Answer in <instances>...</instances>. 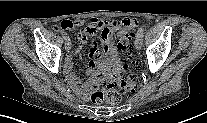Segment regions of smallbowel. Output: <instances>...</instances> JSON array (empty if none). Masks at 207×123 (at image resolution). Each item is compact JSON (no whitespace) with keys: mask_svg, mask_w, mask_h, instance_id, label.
Masks as SVG:
<instances>
[{"mask_svg":"<svg viewBox=\"0 0 207 123\" xmlns=\"http://www.w3.org/2000/svg\"><path fill=\"white\" fill-rule=\"evenodd\" d=\"M83 26L79 38L77 52L82 49L87 40H91L89 47V56L92 60L86 71L87 80L84 81L72 72L73 58L72 55L67 56L65 60V71L69 85L74 93L84 101H88L92 92L97 88L108 69L119 70L117 51L115 48V39L128 28H136L137 22L133 19H112L103 21L92 18L88 23L80 20H65L61 22L60 29L62 32L71 30L74 27ZM99 33V44L94 40V36Z\"/></svg>","mask_w":207,"mask_h":123,"instance_id":"small-bowel-1","label":"small bowel"}]
</instances>
